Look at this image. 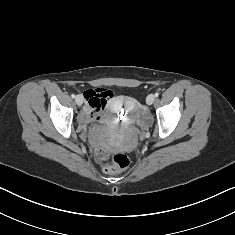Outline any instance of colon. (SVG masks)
Returning a JSON list of instances; mask_svg holds the SVG:
<instances>
[{"label":"colon","mask_w":235,"mask_h":235,"mask_svg":"<svg viewBox=\"0 0 235 235\" xmlns=\"http://www.w3.org/2000/svg\"><path fill=\"white\" fill-rule=\"evenodd\" d=\"M112 93L107 91L103 94L101 98V103L104 105L107 103L108 99H110ZM99 161L105 162L108 159L106 152L99 151L98 153ZM130 161L127 155L125 154H116L112 157L111 161L103 166V171L106 173H115L124 170L128 167Z\"/></svg>","instance_id":"1"}]
</instances>
